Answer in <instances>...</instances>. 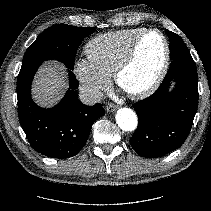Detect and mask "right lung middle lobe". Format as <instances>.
I'll use <instances>...</instances> for the list:
<instances>
[{"label":"right lung middle lobe","mask_w":211,"mask_h":211,"mask_svg":"<svg viewBox=\"0 0 211 211\" xmlns=\"http://www.w3.org/2000/svg\"><path fill=\"white\" fill-rule=\"evenodd\" d=\"M94 31L91 27H74L66 24L49 27L26 50L21 69L55 59L73 70L78 46Z\"/></svg>","instance_id":"right-lung-middle-lobe-1"}]
</instances>
